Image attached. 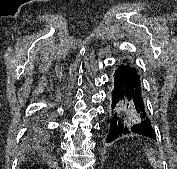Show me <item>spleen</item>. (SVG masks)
I'll use <instances>...</instances> for the list:
<instances>
[{
    "mask_svg": "<svg viewBox=\"0 0 177 169\" xmlns=\"http://www.w3.org/2000/svg\"><path fill=\"white\" fill-rule=\"evenodd\" d=\"M146 155H147V158L150 164L154 167V169H157V161H156V158L154 157V152L147 151Z\"/></svg>",
    "mask_w": 177,
    "mask_h": 169,
    "instance_id": "spleen-1",
    "label": "spleen"
}]
</instances>
